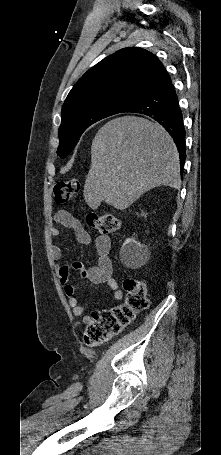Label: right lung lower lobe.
I'll return each mask as SVG.
<instances>
[{"instance_id": "right-lung-lower-lobe-1", "label": "right lung lower lobe", "mask_w": 221, "mask_h": 455, "mask_svg": "<svg viewBox=\"0 0 221 455\" xmlns=\"http://www.w3.org/2000/svg\"><path fill=\"white\" fill-rule=\"evenodd\" d=\"M123 112L141 113L159 122L172 136L180 156L181 174L186 158L182 112L171 79L164 70L149 90Z\"/></svg>"}]
</instances>
